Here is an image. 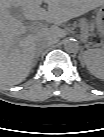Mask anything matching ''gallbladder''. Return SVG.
<instances>
[{"instance_id": "bac80fb5", "label": "gallbladder", "mask_w": 104, "mask_h": 137, "mask_svg": "<svg viewBox=\"0 0 104 137\" xmlns=\"http://www.w3.org/2000/svg\"><path fill=\"white\" fill-rule=\"evenodd\" d=\"M10 12H11V14L13 13L12 15L17 18L21 17V14H22L19 7H14L13 9H11Z\"/></svg>"}]
</instances>
